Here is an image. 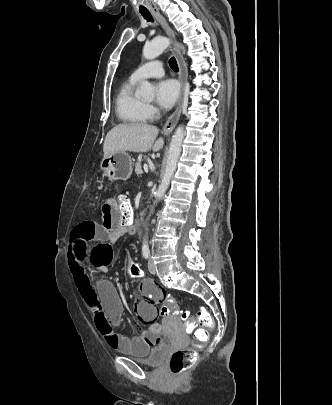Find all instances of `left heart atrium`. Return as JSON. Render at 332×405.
<instances>
[{
  "instance_id": "39dd6f15",
  "label": "left heart atrium",
  "mask_w": 332,
  "mask_h": 405,
  "mask_svg": "<svg viewBox=\"0 0 332 405\" xmlns=\"http://www.w3.org/2000/svg\"><path fill=\"white\" fill-rule=\"evenodd\" d=\"M179 93L180 87L177 81L162 80L156 86V101L160 106L170 108L176 103Z\"/></svg>"
}]
</instances>
